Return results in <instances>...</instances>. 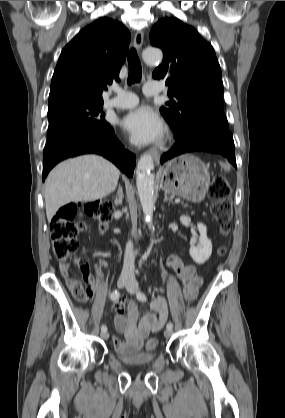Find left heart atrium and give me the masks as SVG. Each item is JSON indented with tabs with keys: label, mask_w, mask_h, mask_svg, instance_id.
<instances>
[{
	"label": "left heart atrium",
	"mask_w": 285,
	"mask_h": 418,
	"mask_svg": "<svg viewBox=\"0 0 285 418\" xmlns=\"http://www.w3.org/2000/svg\"><path fill=\"white\" fill-rule=\"evenodd\" d=\"M124 129L137 143H149L161 138L164 123L160 115L148 106L131 110L123 121Z\"/></svg>",
	"instance_id": "39dd6f15"
}]
</instances>
